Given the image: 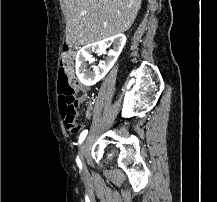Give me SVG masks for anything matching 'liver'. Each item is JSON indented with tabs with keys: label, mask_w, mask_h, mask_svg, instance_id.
I'll return each instance as SVG.
<instances>
[{
	"label": "liver",
	"mask_w": 217,
	"mask_h": 202,
	"mask_svg": "<svg viewBox=\"0 0 217 202\" xmlns=\"http://www.w3.org/2000/svg\"><path fill=\"white\" fill-rule=\"evenodd\" d=\"M66 44L86 46L130 30L142 0H60Z\"/></svg>",
	"instance_id": "1"
}]
</instances>
